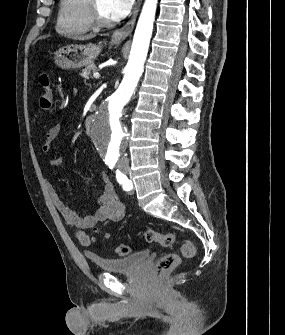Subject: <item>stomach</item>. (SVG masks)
<instances>
[{"label": "stomach", "mask_w": 285, "mask_h": 335, "mask_svg": "<svg viewBox=\"0 0 285 335\" xmlns=\"http://www.w3.org/2000/svg\"><path fill=\"white\" fill-rule=\"evenodd\" d=\"M110 44H119V42H110ZM103 46L101 44H87V46H64L55 52V64L62 70H76L89 66L101 54Z\"/></svg>", "instance_id": "1"}]
</instances>
